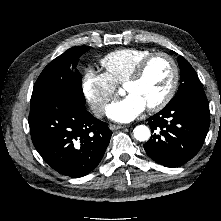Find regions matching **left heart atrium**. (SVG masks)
<instances>
[{
    "mask_svg": "<svg viewBox=\"0 0 221 221\" xmlns=\"http://www.w3.org/2000/svg\"><path fill=\"white\" fill-rule=\"evenodd\" d=\"M146 108L145 103L136 95L128 94L125 98L111 104L107 115L117 122H130L138 117Z\"/></svg>",
    "mask_w": 221,
    "mask_h": 221,
    "instance_id": "1",
    "label": "left heart atrium"
}]
</instances>
